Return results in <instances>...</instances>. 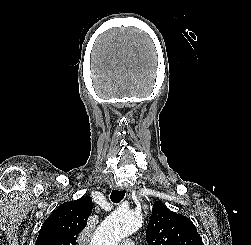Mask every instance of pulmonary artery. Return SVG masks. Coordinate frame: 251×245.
Returning a JSON list of instances; mask_svg holds the SVG:
<instances>
[{"label": "pulmonary artery", "mask_w": 251, "mask_h": 245, "mask_svg": "<svg viewBox=\"0 0 251 245\" xmlns=\"http://www.w3.org/2000/svg\"><path fill=\"white\" fill-rule=\"evenodd\" d=\"M120 245H135V244L132 241L126 239L122 241Z\"/></svg>", "instance_id": "obj_1"}]
</instances>
